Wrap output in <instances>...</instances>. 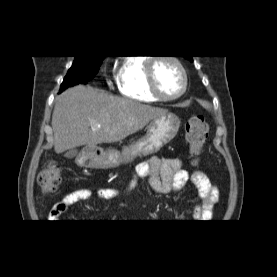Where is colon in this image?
<instances>
[{
  "label": "colon",
  "mask_w": 277,
  "mask_h": 277,
  "mask_svg": "<svg viewBox=\"0 0 277 277\" xmlns=\"http://www.w3.org/2000/svg\"><path fill=\"white\" fill-rule=\"evenodd\" d=\"M209 126L204 116L196 115L188 119L186 123L185 139L193 157H197L207 140ZM61 167L50 162L39 174L38 183L44 191H50L62 182Z\"/></svg>",
  "instance_id": "obj_1"
}]
</instances>
